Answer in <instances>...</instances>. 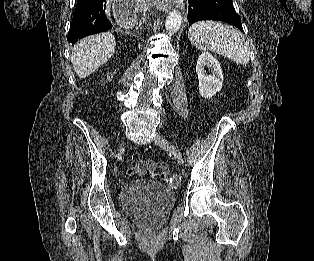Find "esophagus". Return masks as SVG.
Wrapping results in <instances>:
<instances>
[{"mask_svg": "<svg viewBox=\"0 0 314 261\" xmlns=\"http://www.w3.org/2000/svg\"><path fill=\"white\" fill-rule=\"evenodd\" d=\"M172 6L183 9L184 3L183 0H165V2L160 3L158 8L163 11H168L172 8Z\"/></svg>", "mask_w": 314, "mask_h": 261, "instance_id": "esophagus-1", "label": "esophagus"}]
</instances>
